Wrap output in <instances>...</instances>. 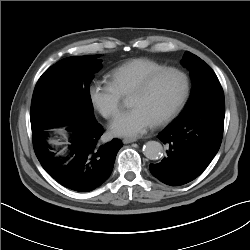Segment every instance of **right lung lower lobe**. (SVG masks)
Segmentation results:
<instances>
[{"label": "right lung lower lobe", "instance_id": "98d812e1", "mask_svg": "<svg viewBox=\"0 0 250 250\" xmlns=\"http://www.w3.org/2000/svg\"><path fill=\"white\" fill-rule=\"evenodd\" d=\"M66 130L70 134L66 156L48 144V130L33 133L35 154L48 174L64 187L77 192L94 190L110 176L123 144L113 139L101 145L98 140L103 128L96 120L69 125Z\"/></svg>", "mask_w": 250, "mask_h": 250}]
</instances>
